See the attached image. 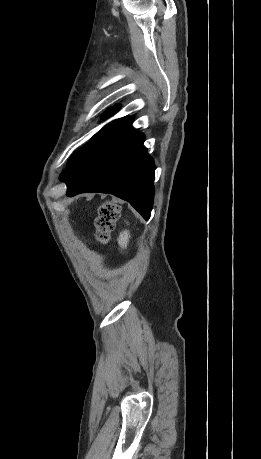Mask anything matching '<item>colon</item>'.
I'll use <instances>...</instances> for the list:
<instances>
[{
	"mask_svg": "<svg viewBox=\"0 0 261 459\" xmlns=\"http://www.w3.org/2000/svg\"><path fill=\"white\" fill-rule=\"evenodd\" d=\"M120 217V207L113 201H105L98 210L95 220L96 236L100 243L107 244Z\"/></svg>",
	"mask_w": 261,
	"mask_h": 459,
	"instance_id": "5ec220e1",
	"label": "colon"
}]
</instances>
